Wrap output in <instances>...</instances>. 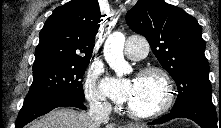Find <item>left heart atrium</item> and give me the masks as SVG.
Listing matches in <instances>:
<instances>
[{
  "instance_id": "1",
  "label": "left heart atrium",
  "mask_w": 221,
  "mask_h": 128,
  "mask_svg": "<svg viewBox=\"0 0 221 128\" xmlns=\"http://www.w3.org/2000/svg\"><path fill=\"white\" fill-rule=\"evenodd\" d=\"M138 86L137 79L118 80L106 86V93L118 103H128Z\"/></svg>"
}]
</instances>
